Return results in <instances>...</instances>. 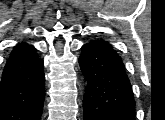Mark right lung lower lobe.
<instances>
[{
	"label": "right lung lower lobe",
	"instance_id": "right-lung-lower-lobe-1",
	"mask_svg": "<svg viewBox=\"0 0 165 120\" xmlns=\"http://www.w3.org/2000/svg\"><path fill=\"white\" fill-rule=\"evenodd\" d=\"M45 99L43 61L28 44L16 45L0 81V120H40Z\"/></svg>",
	"mask_w": 165,
	"mask_h": 120
}]
</instances>
